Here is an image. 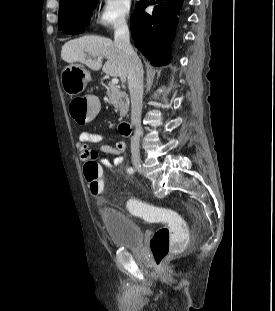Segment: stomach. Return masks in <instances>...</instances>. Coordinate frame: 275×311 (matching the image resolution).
<instances>
[{
    "label": "stomach",
    "instance_id": "0dacf381",
    "mask_svg": "<svg viewBox=\"0 0 275 311\" xmlns=\"http://www.w3.org/2000/svg\"><path fill=\"white\" fill-rule=\"evenodd\" d=\"M91 80L90 72L80 64H69L61 72V86L68 95H78Z\"/></svg>",
    "mask_w": 275,
    "mask_h": 311
}]
</instances>
